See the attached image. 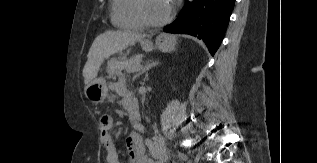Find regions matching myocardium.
<instances>
[{"mask_svg":"<svg viewBox=\"0 0 317 163\" xmlns=\"http://www.w3.org/2000/svg\"><path fill=\"white\" fill-rule=\"evenodd\" d=\"M136 11L139 19L144 23V25L149 27H162L173 19L176 12V7L173 5L168 16L159 21H154L147 15L145 10V0H136Z\"/></svg>","mask_w":317,"mask_h":163,"instance_id":"myocardium-1","label":"myocardium"}]
</instances>
